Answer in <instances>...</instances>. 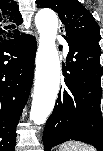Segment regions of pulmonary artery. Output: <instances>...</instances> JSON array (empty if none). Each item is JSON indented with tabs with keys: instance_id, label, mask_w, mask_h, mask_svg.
Segmentation results:
<instances>
[{
	"instance_id": "1",
	"label": "pulmonary artery",
	"mask_w": 103,
	"mask_h": 151,
	"mask_svg": "<svg viewBox=\"0 0 103 151\" xmlns=\"http://www.w3.org/2000/svg\"><path fill=\"white\" fill-rule=\"evenodd\" d=\"M60 42L62 43V45H63V49H64V51L66 52V53H68L69 52V46H68V43L65 41V40H63V39H60Z\"/></svg>"
}]
</instances>
